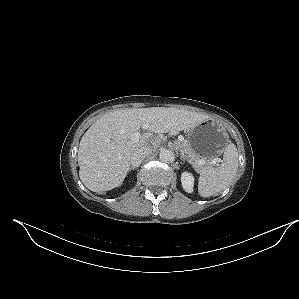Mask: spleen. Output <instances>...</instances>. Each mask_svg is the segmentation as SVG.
Returning a JSON list of instances; mask_svg holds the SVG:
<instances>
[{
    "mask_svg": "<svg viewBox=\"0 0 299 299\" xmlns=\"http://www.w3.org/2000/svg\"><path fill=\"white\" fill-rule=\"evenodd\" d=\"M238 152L233 143L225 148L222 163L214 168L206 166L200 173L198 192L202 197H210L224 191L236 176Z\"/></svg>",
    "mask_w": 299,
    "mask_h": 299,
    "instance_id": "3e777b00",
    "label": "spleen"
}]
</instances>
